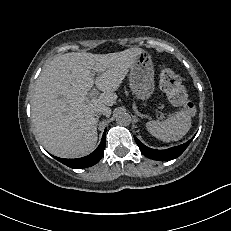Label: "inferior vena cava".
Instances as JSON below:
<instances>
[{
    "instance_id": "inferior-vena-cava-1",
    "label": "inferior vena cava",
    "mask_w": 231,
    "mask_h": 231,
    "mask_svg": "<svg viewBox=\"0 0 231 231\" xmlns=\"http://www.w3.org/2000/svg\"><path fill=\"white\" fill-rule=\"evenodd\" d=\"M94 114H95V116L104 114V108H100V109L96 110Z\"/></svg>"
}]
</instances>
